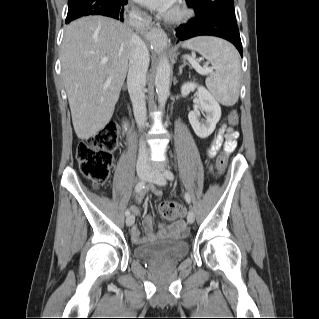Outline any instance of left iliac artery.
Instances as JSON below:
<instances>
[{
  "label": "left iliac artery",
  "instance_id": "1",
  "mask_svg": "<svg viewBox=\"0 0 319 319\" xmlns=\"http://www.w3.org/2000/svg\"><path fill=\"white\" fill-rule=\"evenodd\" d=\"M164 176H165L168 180H173V179H174V174H173L171 171H169V170H165V171H164ZM184 198H185L186 202H187L188 204H190L191 198H190V195H189L188 193H185Z\"/></svg>",
  "mask_w": 319,
  "mask_h": 319
}]
</instances>
